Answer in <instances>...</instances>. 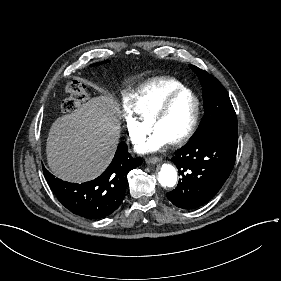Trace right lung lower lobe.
<instances>
[{"mask_svg":"<svg viewBox=\"0 0 281 281\" xmlns=\"http://www.w3.org/2000/svg\"><path fill=\"white\" fill-rule=\"evenodd\" d=\"M141 158L130 157L127 145L120 143L108 168L94 180L76 184L55 178L45 168V178L58 200L72 213L88 219L112 214L121 204L127 174L141 165Z\"/></svg>","mask_w":281,"mask_h":281,"instance_id":"obj_1","label":"right lung lower lobe"}]
</instances>
